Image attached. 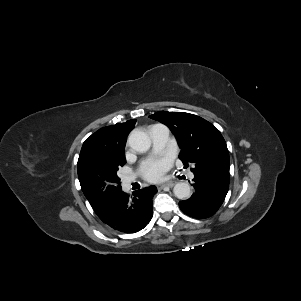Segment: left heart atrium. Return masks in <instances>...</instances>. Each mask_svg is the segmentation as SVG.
<instances>
[{"instance_id":"obj_1","label":"left heart atrium","mask_w":301,"mask_h":301,"mask_svg":"<svg viewBox=\"0 0 301 301\" xmlns=\"http://www.w3.org/2000/svg\"><path fill=\"white\" fill-rule=\"evenodd\" d=\"M171 165L172 159L170 157L147 159L141 164V174L145 180L157 182L163 178Z\"/></svg>"}]
</instances>
